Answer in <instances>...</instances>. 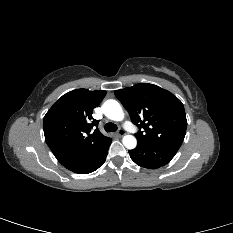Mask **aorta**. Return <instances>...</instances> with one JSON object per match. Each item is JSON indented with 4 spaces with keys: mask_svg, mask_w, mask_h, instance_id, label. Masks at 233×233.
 I'll use <instances>...</instances> for the list:
<instances>
[{
    "mask_svg": "<svg viewBox=\"0 0 233 233\" xmlns=\"http://www.w3.org/2000/svg\"><path fill=\"white\" fill-rule=\"evenodd\" d=\"M102 108L108 119L113 121H122L124 119L122 107L116 100L109 99L105 101ZM122 142L127 149H134L137 145V139L133 135H125Z\"/></svg>",
    "mask_w": 233,
    "mask_h": 233,
    "instance_id": "762f6f07",
    "label": "aorta"
}]
</instances>
